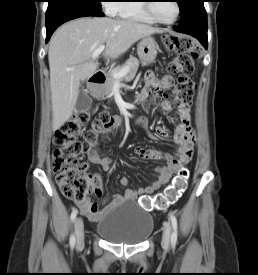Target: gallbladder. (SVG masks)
I'll use <instances>...</instances> for the list:
<instances>
[{"label":"gallbladder","instance_id":"gallbladder-1","mask_svg":"<svg viewBox=\"0 0 258 275\" xmlns=\"http://www.w3.org/2000/svg\"><path fill=\"white\" fill-rule=\"evenodd\" d=\"M92 104V99L88 95L87 91L84 89V83L81 84V89L78 94V98L75 104V109L77 112H85L88 110Z\"/></svg>","mask_w":258,"mask_h":275}]
</instances>
